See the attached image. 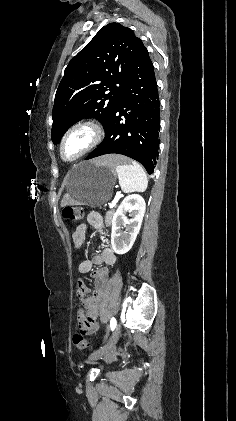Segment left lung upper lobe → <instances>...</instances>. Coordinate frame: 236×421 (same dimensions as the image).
Listing matches in <instances>:
<instances>
[{
    "label": "left lung upper lobe",
    "instance_id": "left-lung-upper-lobe-1",
    "mask_svg": "<svg viewBox=\"0 0 236 421\" xmlns=\"http://www.w3.org/2000/svg\"><path fill=\"white\" fill-rule=\"evenodd\" d=\"M142 45L130 28L110 23L69 62L55 95L54 144L83 118L106 125Z\"/></svg>",
    "mask_w": 236,
    "mask_h": 421
}]
</instances>
